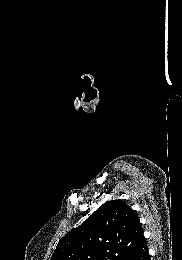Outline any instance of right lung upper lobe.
<instances>
[{
    "instance_id": "cb5924a9",
    "label": "right lung upper lobe",
    "mask_w": 182,
    "mask_h": 260,
    "mask_svg": "<svg viewBox=\"0 0 182 260\" xmlns=\"http://www.w3.org/2000/svg\"><path fill=\"white\" fill-rule=\"evenodd\" d=\"M145 241L135 210L112 200L60 239L50 260H123Z\"/></svg>"
}]
</instances>
